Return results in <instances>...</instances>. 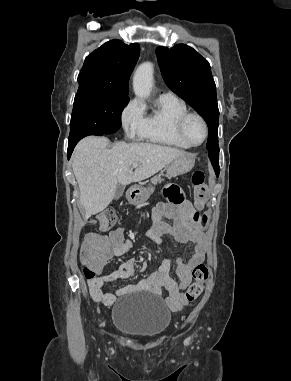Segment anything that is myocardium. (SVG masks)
I'll return each instance as SVG.
<instances>
[{"mask_svg":"<svg viewBox=\"0 0 291 381\" xmlns=\"http://www.w3.org/2000/svg\"><path fill=\"white\" fill-rule=\"evenodd\" d=\"M192 117H195L197 118L202 126H203V130H204V136H203V139L200 143H193L187 133H186V123L187 121L192 118ZM177 132L179 134V136L190 146V147H198V146H201L208 138V133H209V130H208V124L205 120V118L199 114V113H196V112H187L185 113L184 115H182L178 122H177Z\"/></svg>","mask_w":291,"mask_h":381,"instance_id":"myocardium-1","label":"myocardium"}]
</instances>
